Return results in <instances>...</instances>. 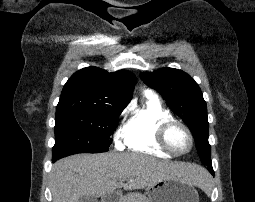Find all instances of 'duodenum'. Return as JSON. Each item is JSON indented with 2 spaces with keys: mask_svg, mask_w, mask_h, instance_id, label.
<instances>
[{
  "mask_svg": "<svg viewBox=\"0 0 255 202\" xmlns=\"http://www.w3.org/2000/svg\"><path fill=\"white\" fill-rule=\"evenodd\" d=\"M99 202H117V198L116 195L108 193L103 195Z\"/></svg>",
  "mask_w": 255,
  "mask_h": 202,
  "instance_id": "410a0bca",
  "label": "duodenum"
}]
</instances>
